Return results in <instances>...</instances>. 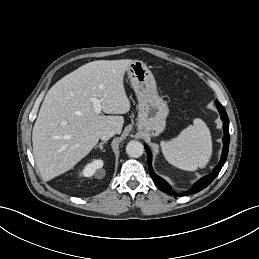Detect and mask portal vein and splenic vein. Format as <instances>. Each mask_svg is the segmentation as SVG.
I'll return each mask as SVG.
<instances>
[{
    "label": "portal vein and splenic vein",
    "instance_id": "18ae733b",
    "mask_svg": "<svg viewBox=\"0 0 259 259\" xmlns=\"http://www.w3.org/2000/svg\"><path fill=\"white\" fill-rule=\"evenodd\" d=\"M90 101H91V103H92V105L94 107V111L97 114H100L101 110H102L101 101L98 100L97 98H91Z\"/></svg>",
    "mask_w": 259,
    "mask_h": 259
}]
</instances>
